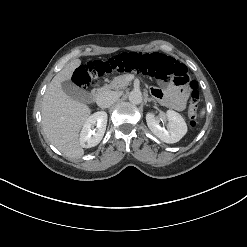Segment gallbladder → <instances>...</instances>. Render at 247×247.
<instances>
[{
    "instance_id": "gallbladder-1",
    "label": "gallbladder",
    "mask_w": 247,
    "mask_h": 247,
    "mask_svg": "<svg viewBox=\"0 0 247 247\" xmlns=\"http://www.w3.org/2000/svg\"><path fill=\"white\" fill-rule=\"evenodd\" d=\"M61 87L65 94L71 99L82 103L91 102V94L88 91L77 87L71 81L62 82Z\"/></svg>"
}]
</instances>
